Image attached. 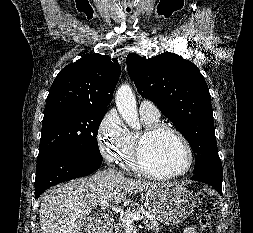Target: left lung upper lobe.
I'll return each instance as SVG.
<instances>
[{
    "mask_svg": "<svg viewBox=\"0 0 253 233\" xmlns=\"http://www.w3.org/2000/svg\"><path fill=\"white\" fill-rule=\"evenodd\" d=\"M127 67L142 97L157 104L188 140L195 153L193 173L210 171L223 175L211 96L197 66L177 54L164 52L150 59L130 53Z\"/></svg>",
    "mask_w": 253,
    "mask_h": 233,
    "instance_id": "5c2ea615",
    "label": "left lung upper lobe"
}]
</instances>
